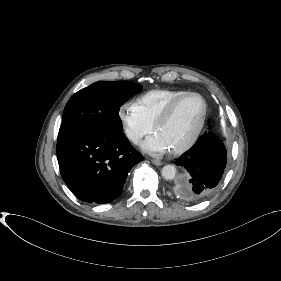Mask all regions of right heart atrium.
Masks as SVG:
<instances>
[{"mask_svg":"<svg viewBox=\"0 0 281 281\" xmlns=\"http://www.w3.org/2000/svg\"><path fill=\"white\" fill-rule=\"evenodd\" d=\"M118 115L127 138L133 143H138L153 130V124L145 117L136 102L123 103Z\"/></svg>","mask_w":281,"mask_h":281,"instance_id":"obj_1","label":"right heart atrium"}]
</instances>
